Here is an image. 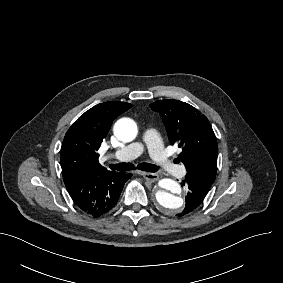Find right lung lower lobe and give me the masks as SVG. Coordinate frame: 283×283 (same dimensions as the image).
Masks as SVG:
<instances>
[{
	"mask_svg": "<svg viewBox=\"0 0 283 283\" xmlns=\"http://www.w3.org/2000/svg\"><path fill=\"white\" fill-rule=\"evenodd\" d=\"M132 176L126 172L85 173L65 181L75 205L84 213L99 217L117 204L125 182Z\"/></svg>",
	"mask_w": 283,
	"mask_h": 283,
	"instance_id": "obj_1",
	"label": "right lung lower lobe"
}]
</instances>
